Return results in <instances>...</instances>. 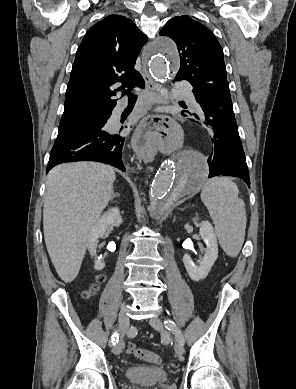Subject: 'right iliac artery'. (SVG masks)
Returning a JSON list of instances; mask_svg holds the SVG:
<instances>
[{"label":"right iliac artery","mask_w":296,"mask_h":389,"mask_svg":"<svg viewBox=\"0 0 296 389\" xmlns=\"http://www.w3.org/2000/svg\"><path fill=\"white\" fill-rule=\"evenodd\" d=\"M118 340H119V335H118V333L115 332V333L112 335V338H111V343H112V345H115L116 342H118Z\"/></svg>","instance_id":"obj_1"}]
</instances>
